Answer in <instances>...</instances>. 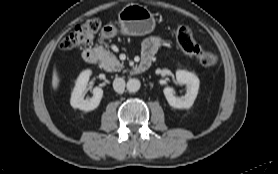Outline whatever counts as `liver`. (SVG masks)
<instances>
[{
	"instance_id": "6515ba94",
	"label": "liver",
	"mask_w": 278,
	"mask_h": 174,
	"mask_svg": "<svg viewBox=\"0 0 278 174\" xmlns=\"http://www.w3.org/2000/svg\"><path fill=\"white\" fill-rule=\"evenodd\" d=\"M59 83H60V79H59L56 67H54L53 75H52V87L54 90L58 89Z\"/></svg>"
}]
</instances>
